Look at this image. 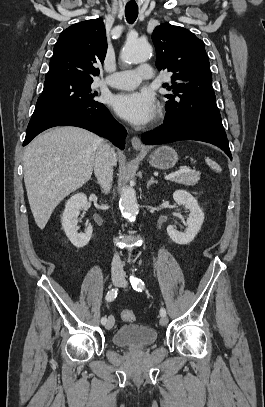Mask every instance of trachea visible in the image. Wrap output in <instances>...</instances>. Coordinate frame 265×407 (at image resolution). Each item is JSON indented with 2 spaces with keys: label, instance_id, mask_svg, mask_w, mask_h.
Returning a JSON list of instances; mask_svg holds the SVG:
<instances>
[{
  "label": "trachea",
  "instance_id": "obj_1",
  "mask_svg": "<svg viewBox=\"0 0 265 407\" xmlns=\"http://www.w3.org/2000/svg\"><path fill=\"white\" fill-rule=\"evenodd\" d=\"M125 16L127 22L133 24L138 16V7L126 6Z\"/></svg>",
  "mask_w": 265,
  "mask_h": 407
}]
</instances>
